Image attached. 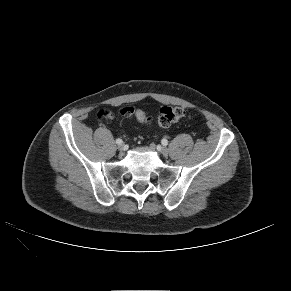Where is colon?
Returning <instances> with one entry per match:
<instances>
[{
	"mask_svg": "<svg viewBox=\"0 0 291 291\" xmlns=\"http://www.w3.org/2000/svg\"><path fill=\"white\" fill-rule=\"evenodd\" d=\"M120 114L125 117H135L143 124H150L152 122L151 117L147 116L143 110L135 106H125L121 108ZM185 115L186 110L182 107L165 106L160 109L157 123L160 127L166 128L183 118ZM112 117L113 112L109 109H101L98 112L99 119H111ZM196 120L198 121V118H196Z\"/></svg>",
	"mask_w": 291,
	"mask_h": 291,
	"instance_id": "5ec220e1",
	"label": "colon"
}]
</instances>
